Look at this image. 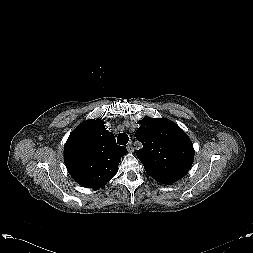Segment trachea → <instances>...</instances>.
<instances>
[{
    "instance_id": "trachea-1",
    "label": "trachea",
    "mask_w": 253,
    "mask_h": 253,
    "mask_svg": "<svg viewBox=\"0 0 253 253\" xmlns=\"http://www.w3.org/2000/svg\"><path fill=\"white\" fill-rule=\"evenodd\" d=\"M129 141V137L125 133H121L117 137V143L120 145H126Z\"/></svg>"
}]
</instances>
